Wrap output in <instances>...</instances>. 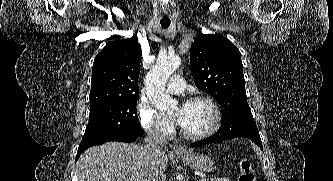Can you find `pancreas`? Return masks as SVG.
<instances>
[{
  "label": "pancreas",
  "mask_w": 333,
  "mask_h": 181,
  "mask_svg": "<svg viewBox=\"0 0 333 181\" xmlns=\"http://www.w3.org/2000/svg\"><path fill=\"white\" fill-rule=\"evenodd\" d=\"M210 181H230L229 178H212Z\"/></svg>",
  "instance_id": "1"
}]
</instances>
